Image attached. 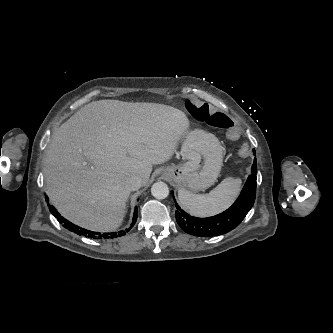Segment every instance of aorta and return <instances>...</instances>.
I'll use <instances>...</instances> for the list:
<instances>
[{
    "mask_svg": "<svg viewBox=\"0 0 333 333\" xmlns=\"http://www.w3.org/2000/svg\"><path fill=\"white\" fill-rule=\"evenodd\" d=\"M151 193L157 199H165L169 195V188L164 182H156L152 185Z\"/></svg>",
    "mask_w": 333,
    "mask_h": 333,
    "instance_id": "1",
    "label": "aorta"
}]
</instances>
